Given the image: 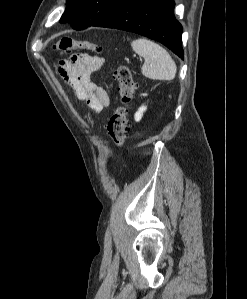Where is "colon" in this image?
Returning <instances> with one entry per match:
<instances>
[{
    "label": "colon",
    "mask_w": 247,
    "mask_h": 299,
    "mask_svg": "<svg viewBox=\"0 0 247 299\" xmlns=\"http://www.w3.org/2000/svg\"><path fill=\"white\" fill-rule=\"evenodd\" d=\"M53 48L60 53H66L73 49H82L94 53L101 51V47L97 44L69 37L58 40ZM114 78L118 81V105L108 121L107 130L112 141L117 146L124 147L130 130L128 112L135 91V83L131 71L124 65H120L115 70Z\"/></svg>",
    "instance_id": "colon-1"
}]
</instances>
